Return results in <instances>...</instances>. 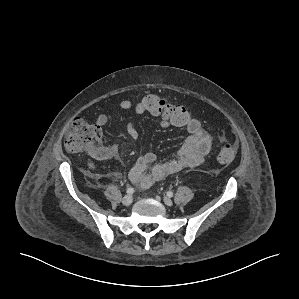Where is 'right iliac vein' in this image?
Listing matches in <instances>:
<instances>
[{
    "instance_id": "right-iliac-vein-1",
    "label": "right iliac vein",
    "mask_w": 299,
    "mask_h": 299,
    "mask_svg": "<svg viewBox=\"0 0 299 299\" xmlns=\"http://www.w3.org/2000/svg\"><path fill=\"white\" fill-rule=\"evenodd\" d=\"M132 202H133V198H132L131 195H126V196H124L123 199H122V203H123V205H125V206H129Z\"/></svg>"
}]
</instances>
